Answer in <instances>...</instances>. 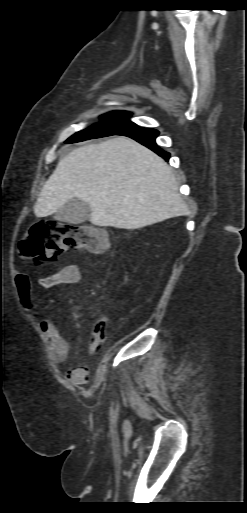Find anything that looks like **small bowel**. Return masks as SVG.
<instances>
[{
    "label": "small bowel",
    "mask_w": 247,
    "mask_h": 513,
    "mask_svg": "<svg viewBox=\"0 0 247 513\" xmlns=\"http://www.w3.org/2000/svg\"><path fill=\"white\" fill-rule=\"evenodd\" d=\"M81 280V271L78 265H67L60 270L44 277L40 283V288H50L58 284H75ZM16 284L19 296L27 310L37 318L38 311L33 306L32 285L27 273H19L16 277ZM38 325L48 342L52 360L56 363H62L67 360L70 354V345L65 337L60 333L56 324L44 317L37 318ZM84 366L75 367L68 371L67 378L76 385H82L84 378L87 377Z\"/></svg>",
    "instance_id": "small-bowel-1"
}]
</instances>
